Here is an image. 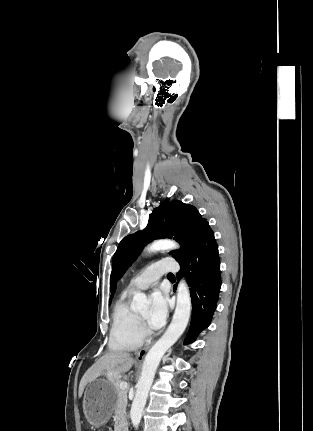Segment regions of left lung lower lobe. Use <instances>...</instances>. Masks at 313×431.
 <instances>
[{
	"label": "left lung lower lobe",
	"mask_w": 313,
	"mask_h": 431,
	"mask_svg": "<svg viewBox=\"0 0 313 431\" xmlns=\"http://www.w3.org/2000/svg\"><path fill=\"white\" fill-rule=\"evenodd\" d=\"M179 264L181 271L177 277H187L192 300V319L184 341V344H190L210 325L221 287L218 247L209 226L202 232L191 254Z\"/></svg>",
	"instance_id": "1"
}]
</instances>
